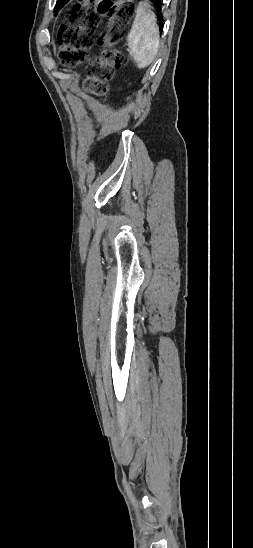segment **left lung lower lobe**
<instances>
[{
  "label": "left lung lower lobe",
  "mask_w": 253,
  "mask_h": 548,
  "mask_svg": "<svg viewBox=\"0 0 253 548\" xmlns=\"http://www.w3.org/2000/svg\"><path fill=\"white\" fill-rule=\"evenodd\" d=\"M69 0H61L56 6L55 11H58L60 8H62ZM156 7L157 11L161 10L162 7V0H150ZM162 26V23L160 24Z\"/></svg>",
  "instance_id": "left-lung-lower-lobe-1"
}]
</instances>
